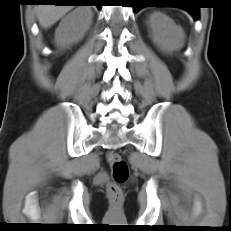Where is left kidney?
Listing matches in <instances>:
<instances>
[{
  "instance_id": "1",
  "label": "left kidney",
  "mask_w": 231,
  "mask_h": 231,
  "mask_svg": "<svg viewBox=\"0 0 231 231\" xmlns=\"http://www.w3.org/2000/svg\"><path fill=\"white\" fill-rule=\"evenodd\" d=\"M149 27L153 42L163 51L172 52L183 46L184 30L164 13L152 14L149 18Z\"/></svg>"
}]
</instances>
